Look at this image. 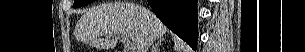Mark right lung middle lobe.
I'll return each mask as SVG.
<instances>
[{"mask_svg":"<svg viewBox=\"0 0 305 52\" xmlns=\"http://www.w3.org/2000/svg\"><path fill=\"white\" fill-rule=\"evenodd\" d=\"M94 0H75L73 6L74 7H81V6H84V5H87L91 2H93Z\"/></svg>","mask_w":305,"mask_h":52,"instance_id":"dd1d6c3e","label":"right lung middle lobe"}]
</instances>
